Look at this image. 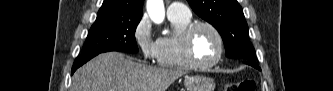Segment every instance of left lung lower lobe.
<instances>
[{
	"label": "left lung lower lobe",
	"mask_w": 333,
	"mask_h": 91,
	"mask_svg": "<svg viewBox=\"0 0 333 91\" xmlns=\"http://www.w3.org/2000/svg\"><path fill=\"white\" fill-rule=\"evenodd\" d=\"M244 62H245L246 64L251 65V66H253V67H255V68H257V69L260 70V68L257 66V64L253 63L252 61L246 60V61H244Z\"/></svg>",
	"instance_id": "obj_1"
}]
</instances>
